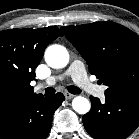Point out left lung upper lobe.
<instances>
[{
  "mask_svg": "<svg viewBox=\"0 0 139 139\" xmlns=\"http://www.w3.org/2000/svg\"><path fill=\"white\" fill-rule=\"evenodd\" d=\"M61 30L107 86L105 97L139 89V37L114 22L65 26Z\"/></svg>",
  "mask_w": 139,
  "mask_h": 139,
  "instance_id": "1",
  "label": "left lung upper lobe"
}]
</instances>
